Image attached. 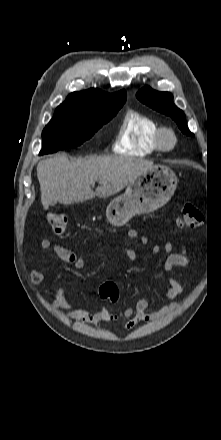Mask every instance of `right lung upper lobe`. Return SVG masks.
Wrapping results in <instances>:
<instances>
[{
    "label": "right lung upper lobe",
    "instance_id": "right-lung-upper-lobe-1",
    "mask_svg": "<svg viewBox=\"0 0 221 440\" xmlns=\"http://www.w3.org/2000/svg\"><path fill=\"white\" fill-rule=\"evenodd\" d=\"M126 91L108 94L99 89H88L69 94L66 101L57 108L95 109L123 106L126 101Z\"/></svg>",
    "mask_w": 221,
    "mask_h": 440
}]
</instances>
